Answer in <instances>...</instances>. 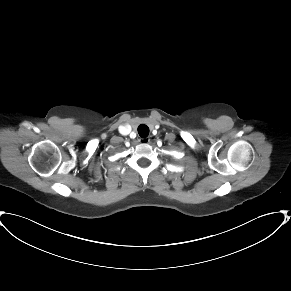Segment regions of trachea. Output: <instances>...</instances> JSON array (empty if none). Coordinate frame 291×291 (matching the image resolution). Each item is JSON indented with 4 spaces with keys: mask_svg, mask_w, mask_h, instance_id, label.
<instances>
[{
    "mask_svg": "<svg viewBox=\"0 0 291 291\" xmlns=\"http://www.w3.org/2000/svg\"><path fill=\"white\" fill-rule=\"evenodd\" d=\"M138 133L142 138H145L149 135V128L142 124L138 127Z\"/></svg>",
    "mask_w": 291,
    "mask_h": 291,
    "instance_id": "3493384b",
    "label": "trachea"
}]
</instances>
